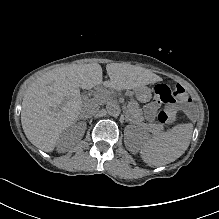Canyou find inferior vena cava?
Returning <instances> with one entry per match:
<instances>
[{
    "mask_svg": "<svg viewBox=\"0 0 219 219\" xmlns=\"http://www.w3.org/2000/svg\"><path fill=\"white\" fill-rule=\"evenodd\" d=\"M80 113L82 117L85 118H90L94 115L95 113V108L92 104L90 103H85L81 106L80 108Z\"/></svg>",
    "mask_w": 219,
    "mask_h": 219,
    "instance_id": "602c4592",
    "label": "inferior vena cava"
}]
</instances>
